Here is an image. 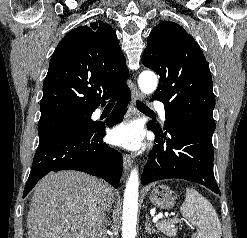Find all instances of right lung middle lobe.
Segmentation results:
<instances>
[{
  "instance_id": "1",
  "label": "right lung middle lobe",
  "mask_w": 247,
  "mask_h": 238,
  "mask_svg": "<svg viewBox=\"0 0 247 238\" xmlns=\"http://www.w3.org/2000/svg\"><path fill=\"white\" fill-rule=\"evenodd\" d=\"M93 124L91 113L68 114L39 121V142L71 128H82Z\"/></svg>"
}]
</instances>
